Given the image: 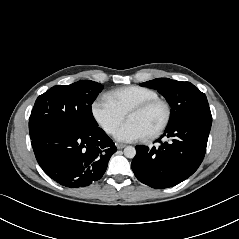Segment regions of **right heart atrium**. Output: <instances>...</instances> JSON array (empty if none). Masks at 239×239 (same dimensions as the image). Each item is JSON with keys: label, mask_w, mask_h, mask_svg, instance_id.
I'll return each mask as SVG.
<instances>
[{"label": "right heart atrium", "mask_w": 239, "mask_h": 239, "mask_svg": "<svg viewBox=\"0 0 239 239\" xmlns=\"http://www.w3.org/2000/svg\"><path fill=\"white\" fill-rule=\"evenodd\" d=\"M91 112L97 124L107 134H113L125 118V114L105 96L98 97L94 100L91 106Z\"/></svg>", "instance_id": "d8ad5b80"}]
</instances>
